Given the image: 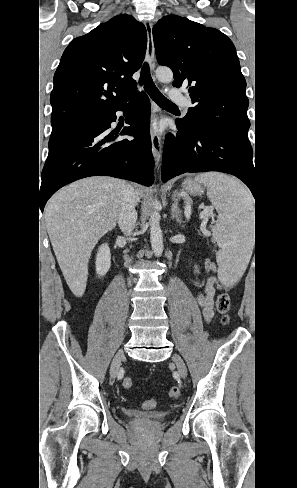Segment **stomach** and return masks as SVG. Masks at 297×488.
Here are the masks:
<instances>
[{
    "mask_svg": "<svg viewBox=\"0 0 297 488\" xmlns=\"http://www.w3.org/2000/svg\"><path fill=\"white\" fill-rule=\"evenodd\" d=\"M182 188L190 195H201L204 192L202 184L192 179L185 180L182 184Z\"/></svg>",
    "mask_w": 297,
    "mask_h": 488,
    "instance_id": "1",
    "label": "stomach"
}]
</instances>
